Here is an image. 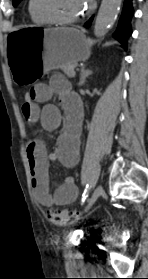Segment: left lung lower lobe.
Instances as JSON below:
<instances>
[{"label": "left lung lower lobe", "instance_id": "left-lung-lower-lobe-1", "mask_svg": "<svg viewBox=\"0 0 148 279\" xmlns=\"http://www.w3.org/2000/svg\"><path fill=\"white\" fill-rule=\"evenodd\" d=\"M133 15L132 0H124L123 11L120 17L117 30L114 33V37L118 39L126 47V41L131 34L130 21ZM93 17L85 24L86 27L91 25Z\"/></svg>", "mask_w": 148, "mask_h": 279}]
</instances>
